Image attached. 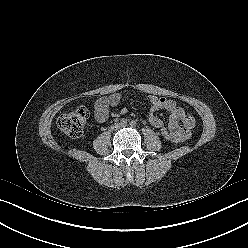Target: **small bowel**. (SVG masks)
I'll return each mask as SVG.
<instances>
[{
    "instance_id": "c3829d8e",
    "label": "small bowel",
    "mask_w": 248,
    "mask_h": 248,
    "mask_svg": "<svg viewBox=\"0 0 248 248\" xmlns=\"http://www.w3.org/2000/svg\"><path fill=\"white\" fill-rule=\"evenodd\" d=\"M121 97L119 92H114L99 98L94 106L96 121L99 123L106 122L109 118L110 108L117 106ZM149 101L148 121L153 127L161 128L164 126L163 120L156 114L158 110L164 109L169 112L168 129L176 135L177 142L185 141L190 137L191 130L196 126V120L191 114L177 105L174 100L168 98L151 95L149 96Z\"/></svg>"
}]
</instances>
